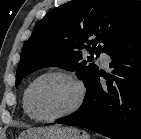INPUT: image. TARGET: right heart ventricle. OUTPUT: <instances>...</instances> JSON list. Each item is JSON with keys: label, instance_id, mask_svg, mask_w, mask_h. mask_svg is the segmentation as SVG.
<instances>
[{"label": "right heart ventricle", "instance_id": "right-heart-ventricle-1", "mask_svg": "<svg viewBox=\"0 0 141 139\" xmlns=\"http://www.w3.org/2000/svg\"><path fill=\"white\" fill-rule=\"evenodd\" d=\"M24 98H25V94H24V97H23V109H24V111H25V113L28 115V113H27V111H26V108H25V100H24ZM29 116V115H28ZM30 117V116H29Z\"/></svg>", "mask_w": 141, "mask_h": 139}]
</instances>
